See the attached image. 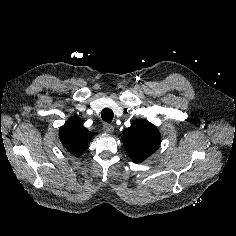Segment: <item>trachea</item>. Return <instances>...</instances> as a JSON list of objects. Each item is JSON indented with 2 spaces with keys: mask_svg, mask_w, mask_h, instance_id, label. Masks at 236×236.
I'll return each instance as SVG.
<instances>
[{
  "mask_svg": "<svg viewBox=\"0 0 236 236\" xmlns=\"http://www.w3.org/2000/svg\"><path fill=\"white\" fill-rule=\"evenodd\" d=\"M113 116H114V114H113V111L111 109L105 108L101 112L102 120L107 122V123L112 122Z\"/></svg>",
  "mask_w": 236,
  "mask_h": 236,
  "instance_id": "trachea-1",
  "label": "trachea"
}]
</instances>
